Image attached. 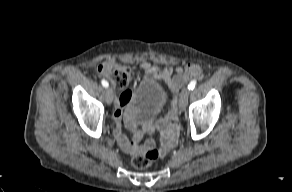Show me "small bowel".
I'll return each mask as SVG.
<instances>
[{"mask_svg": "<svg viewBox=\"0 0 292 192\" xmlns=\"http://www.w3.org/2000/svg\"><path fill=\"white\" fill-rule=\"evenodd\" d=\"M140 68L144 70L148 76L166 82L173 92H176L186 81L199 76L201 73L200 67L196 64H187L184 67H177L174 70L172 67L157 68L149 62H142ZM131 96L132 94L130 91H124L115 102L113 113V120L115 123L114 135L119 146L123 151L131 155L145 154L150 149H153L154 143L151 140L140 143L144 133L150 134L158 131L160 134L159 154H166L174 146L178 134L176 102L174 101L171 105L170 118L159 120L155 124H144L142 130L136 128L133 117L129 112L126 113V125L133 132L132 140H130L122 130V119L124 110L129 106L131 101Z\"/></svg>", "mask_w": 292, "mask_h": 192, "instance_id": "1", "label": "small bowel"}]
</instances>
